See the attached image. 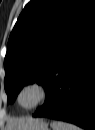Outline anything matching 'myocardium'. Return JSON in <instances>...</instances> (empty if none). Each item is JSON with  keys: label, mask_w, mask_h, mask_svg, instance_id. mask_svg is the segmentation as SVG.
Listing matches in <instances>:
<instances>
[{"label": "myocardium", "mask_w": 95, "mask_h": 130, "mask_svg": "<svg viewBox=\"0 0 95 130\" xmlns=\"http://www.w3.org/2000/svg\"><path fill=\"white\" fill-rule=\"evenodd\" d=\"M28 88H36L40 93V97H39V100L34 105H32L30 107H24L20 104L19 98H20L21 93ZM48 97H49V89H48V86L44 82H42L40 80H30L28 82H25L18 89V91L16 93L15 101L19 108L26 110V111H32V110L37 109L41 105H43L46 102V100L48 99Z\"/></svg>", "instance_id": "f54148a6"}]
</instances>
